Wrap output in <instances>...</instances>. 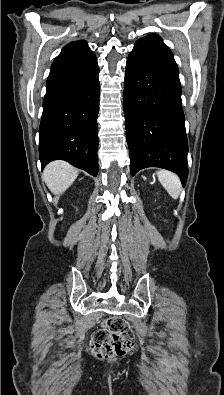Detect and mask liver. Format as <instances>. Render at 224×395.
<instances>
[{"label":"liver","instance_id":"1","mask_svg":"<svg viewBox=\"0 0 224 395\" xmlns=\"http://www.w3.org/2000/svg\"><path fill=\"white\" fill-rule=\"evenodd\" d=\"M79 170L69 163L56 160L49 163L43 171V179L49 190L55 194H62L76 180Z\"/></svg>","mask_w":224,"mask_h":395}]
</instances>
